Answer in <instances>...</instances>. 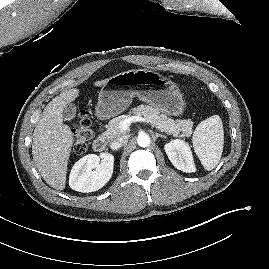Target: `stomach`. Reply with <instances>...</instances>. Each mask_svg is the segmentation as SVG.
<instances>
[{"label":"stomach","instance_id":"stomach-1","mask_svg":"<svg viewBox=\"0 0 269 269\" xmlns=\"http://www.w3.org/2000/svg\"><path fill=\"white\" fill-rule=\"evenodd\" d=\"M137 96L168 116H182L186 102L178 86L147 69H132L107 79L96 106L99 119H109L126 110Z\"/></svg>","mask_w":269,"mask_h":269}]
</instances>
